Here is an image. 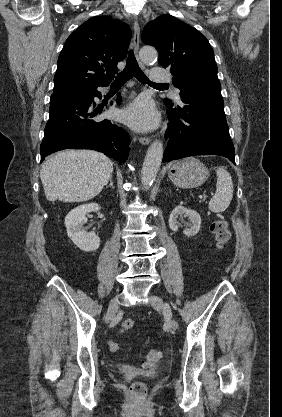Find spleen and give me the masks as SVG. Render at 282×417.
I'll return each mask as SVG.
<instances>
[{
    "label": "spleen",
    "mask_w": 282,
    "mask_h": 417,
    "mask_svg": "<svg viewBox=\"0 0 282 417\" xmlns=\"http://www.w3.org/2000/svg\"><path fill=\"white\" fill-rule=\"evenodd\" d=\"M216 174V194L209 200L208 206L212 213H224L228 209L233 196L232 176L222 166H216Z\"/></svg>",
    "instance_id": "3e777b00"
}]
</instances>
